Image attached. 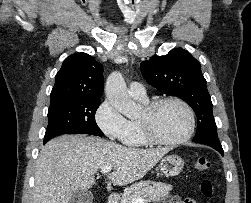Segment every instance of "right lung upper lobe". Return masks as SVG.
Returning a JSON list of instances; mask_svg holds the SVG:
<instances>
[{
  "label": "right lung upper lobe",
  "mask_w": 251,
  "mask_h": 203,
  "mask_svg": "<svg viewBox=\"0 0 251 203\" xmlns=\"http://www.w3.org/2000/svg\"><path fill=\"white\" fill-rule=\"evenodd\" d=\"M102 65L86 53L67 57L55 77L50 107L76 100L100 99L103 93Z\"/></svg>",
  "instance_id": "cb5924a9"
}]
</instances>
